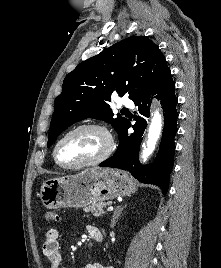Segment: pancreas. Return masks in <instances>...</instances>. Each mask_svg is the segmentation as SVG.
<instances>
[{
    "label": "pancreas",
    "mask_w": 221,
    "mask_h": 268,
    "mask_svg": "<svg viewBox=\"0 0 221 268\" xmlns=\"http://www.w3.org/2000/svg\"><path fill=\"white\" fill-rule=\"evenodd\" d=\"M110 205V202H98L91 206L84 207L85 212H91L94 216H102L105 214L103 208Z\"/></svg>",
    "instance_id": "pancreas-1"
}]
</instances>
